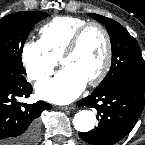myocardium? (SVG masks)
<instances>
[{
    "label": "myocardium",
    "mask_w": 145,
    "mask_h": 145,
    "mask_svg": "<svg viewBox=\"0 0 145 145\" xmlns=\"http://www.w3.org/2000/svg\"><path fill=\"white\" fill-rule=\"evenodd\" d=\"M90 28H97L100 30V32L103 34L106 44V53H105V59L103 62V65L98 72V74L87 82L89 86H97L99 85L107 76V74L110 71L112 60H113V46H112V40L110 37V34L108 30L99 22L90 21L85 23L84 25L80 26L72 35L71 39L69 40L65 50L60 55L59 60L62 64L63 60L73 54L75 50L77 49L81 38L85 34L87 30Z\"/></svg>",
    "instance_id": "f54148a6"
}]
</instances>
